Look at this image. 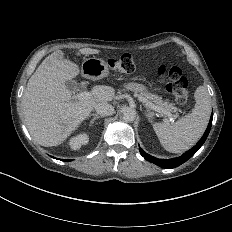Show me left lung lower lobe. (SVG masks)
Listing matches in <instances>:
<instances>
[{
	"instance_id": "0a47b994",
	"label": "left lung lower lobe",
	"mask_w": 232,
	"mask_h": 232,
	"mask_svg": "<svg viewBox=\"0 0 232 232\" xmlns=\"http://www.w3.org/2000/svg\"><path fill=\"white\" fill-rule=\"evenodd\" d=\"M212 119H213V113L210 117L209 124H208L207 129H206L204 135L202 136V138L198 141V143L193 148H191L190 150H188L187 152H185L183 155H181L179 157L172 158V159H158L156 157H153V156L147 154L141 148H139V151H140L141 155L147 161L154 163L155 165H157L159 167L167 168V169L178 167L179 165H181L184 162H186L187 160H189L199 150V148L204 144V142L206 141L208 134L211 130Z\"/></svg>"
}]
</instances>
